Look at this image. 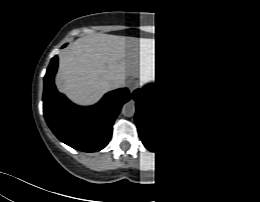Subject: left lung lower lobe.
Returning <instances> with one entry per match:
<instances>
[{
  "mask_svg": "<svg viewBox=\"0 0 260 202\" xmlns=\"http://www.w3.org/2000/svg\"><path fill=\"white\" fill-rule=\"evenodd\" d=\"M170 54V72L156 73L155 85L133 93L134 116L143 145L156 154L176 151L199 136L207 122L211 106L208 75L201 57ZM188 68L185 77L181 68ZM183 69V68H182ZM182 81L177 85L174 81Z\"/></svg>",
  "mask_w": 260,
  "mask_h": 202,
  "instance_id": "left-lung-lower-lobe-1",
  "label": "left lung lower lobe"
}]
</instances>
